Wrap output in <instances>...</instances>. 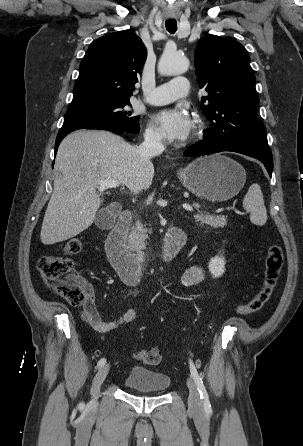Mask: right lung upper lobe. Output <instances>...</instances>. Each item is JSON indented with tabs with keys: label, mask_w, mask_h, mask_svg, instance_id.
I'll list each match as a JSON object with an SVG mask.
<instances>
[{
	"label": "right lung upper lobe",
	"mask_w": 303,
	"mask_h": 446,
	"mask_svg": "<svg viewBox=\"0 0 303 446\" xmlns=\"http://www.w3.org/2000/svg\"><path fill=\"white\" fill-rule=\"evenodd\" d=\"M146 57L142 40L129 30L95 40L80 64L68 110L129 100Z\"/></svg>",
	"instance_id": "cb5924a9"
}]
</instances>
